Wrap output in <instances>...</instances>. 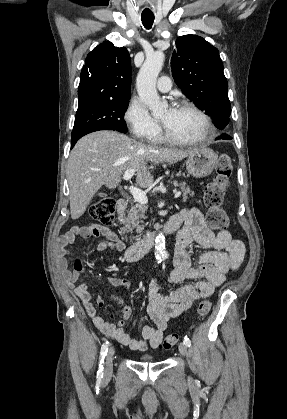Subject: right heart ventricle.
Returning a JSON list of instances; mask_svg holds the SVG:
<instances>
[{
	"instance_id": "e07e8e85",
	"label": "right heart ventricle",
	"mask_w": 287,
	"mask_h": 419,
	"mask_svg": "<svg viewBox=\"0 0 287 419\" xmlns=\"http://www.w3.org/2000/svg\"><path fill=\"white\" fill-rule=\"evenodd\" d=\"M160 140H161V139L157 137L154 141L158 142V141H160Z\"/></svg>"
}]
</instances>
